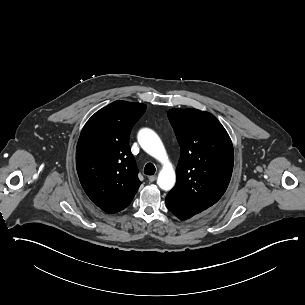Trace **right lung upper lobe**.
Segmentation results:
<instances>
[{
    "mask_svg": "<svg viewBox=\"0 0 305 305\" xmlns=\"http://www.w3.org/2000/svg\"><path fill=\"white\" fill-rule=\"evenodd\" d=\"M146 105L115 101L85 124L76 149V167L88 197L107 213L126 208L141 182L129 147L131 128Z\"/></svg>",
    "mask_w": 305,
    "mask_h": 305,
    "instance_id": "right-lung-upper-lobe-1",
    "label": "right lung upper lobe"
}]
</instances>
